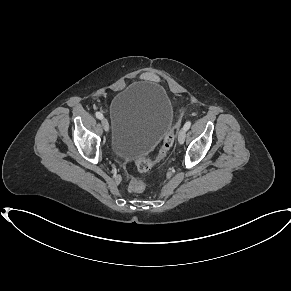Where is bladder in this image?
Here are the masks:
<instances>
[{
  "label": "bladder",
  "instance_id": "1",
  "mask_svg": "<svg viewBox=\"0 0 291 291\" xmlns=\"http://www.w3.org/2000/svg\"><path fill=\"white\" fill-rule=\"evenodd\" d=\"M110 119L112 154L134 159L149 154L170 129L173 105L161 86L135 82L114 97Z\"/></svg>",
  "mask_w": 291,
  "mask_h": 291
}]
</instances>
